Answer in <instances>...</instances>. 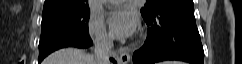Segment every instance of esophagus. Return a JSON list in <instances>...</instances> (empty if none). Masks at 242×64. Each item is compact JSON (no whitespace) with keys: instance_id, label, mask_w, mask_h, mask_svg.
Returning a JSON list of instances; mask_svg holds the SVG:
<instances>
[{"instance_id":"esophagus-1","label":"esophagus","mask_w":242,"mask_h":64,"mask_svg":"<svg viewBox=\"0 0 242 64\" xmlns=\"http://www.w3.org/2000/svg\"><path fill=\"white\" fill-rule=\"evenodd\" d=\"M119 61L121 64H127L130 61V54L127 49L120 50Z\"/></svg>"}]
</instances>
